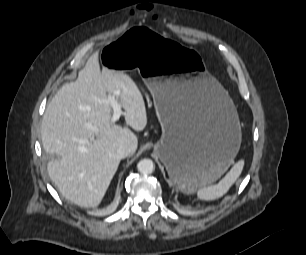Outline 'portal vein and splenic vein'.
Wrapping results in <instances>:
<instances>
[{
	"mask_svg": "<svg viewBox=\"0 0 306 255\" xmlns=\"http://www.w3.org/2000/svg\"><path fill=\"white\" fill-rule=\"evenodd\" d=\"M108 103H110L111 107L113 108V116L111 121L115 123L117 120H119L120 116L124 114V112L121 109L120 104L115 99V96H109L107 98Z\"/></svg>",
	"mask_w": 306,
	"mask_h": 255,
	"instance_id": "obj_1",
	"label": "portal vein and splenic vein"
}]
</instances>
